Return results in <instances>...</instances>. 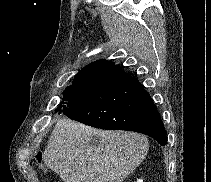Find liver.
Listing matches in <instances>:
<instances>
[{
    "label": "liver",
    "instance_id": "obj_1",
    "mask_svg": "<svg viewBox=\"0 0 211 182\" xmlns=\"http://www.w3.org/2000/svg\"><path fill=\"white\" fill-rule=\"evenodd\" d=\"M95 136L98 145L91 143ZM147 152L148 139L139 133L103 131L64 118L55 124L43 159L64 182H122Z\"/></svg>",
    "mask_w": 211,
    "mask_h": 182
}]
</instances>
